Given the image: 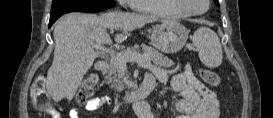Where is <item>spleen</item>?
<instances>
[{"instance_id": "3e777b00", "label": "spleen", "mask_w": 273, "mask_h": 118, "mask_svg": "<svg viewBox=\"0 0 273 118\" xmlns=\"http://www.w3.org/2000/svg\"><path fill=\"white\" fill-rule=\"evenodd\" d=\"M193 44L205 66L216 68L221 65L223 51L220 40L213 30L207 27L198 28L193 35Z\"/></svg>"}]
</instances>
